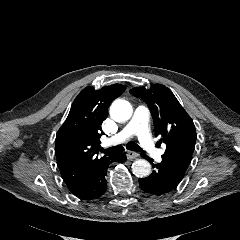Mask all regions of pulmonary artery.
Returning a JSON list of instances; mask_svg holds the SVG:
<instances>
[{
  "mask_svg": "<svg viewBox=\"0 0 240 240\" xmlns=\"http://www.w3.org/2000/svg\"><path fill=\"white\" fill-rule=\"evenodd\" d=\"M134 135L138 137L141 146L151 157H160L161 151L155 147L149 130V110L143 105L136 108L132 119L111 140L119 143Z\"/></svg>",
  "mask_w": 240,
  "mask_h": 240,
  "instance_id": "e3ab8cb5",
  "label": "pulmonary artery"
}]
</instances>
